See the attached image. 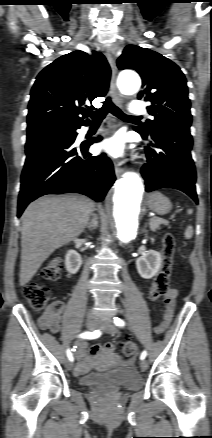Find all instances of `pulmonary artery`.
Instances as JSON below:
<instances>
[{"mask_svg":"<svg viewBox=\"0 0 212 438\" xmlns=\"http://www.w3.org/2000/svg\"><path fill=\"white\" fill-rule=\"evenodd\" d=\"M129 111L133 114H143L146 111V105L143 101H133L129 107Z\"/></svg>","mask_w":212,"mask_h":438,"instance_id":"obj_1","label":"pulmonary artery"}]
</instances>
